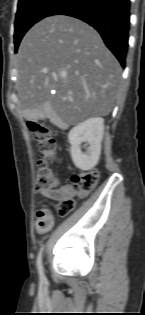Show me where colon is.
<instances>
[{"label":"colon","instance_id":"1","mask_svg":"<svg viewBox=\"0 0 145 315\" xmlns=\"http://www.w3.org/2000/svg\"><path fill=\"white\" fill-rule=\"evenodd\" d=\"M29 128L35 136L39 146L37 188L41 190L53 189L58 185V179L52 172L49 162L55 158V139L52 128L38 122H29ZM98 172L93 169L80 172L72 177V188L74 193L85 195L96 185ZM75 201L72 196H65L57 203L59 215H65L74 209Z\"/></svg>","mask_w":145,"mask_h":315}]
</instances>
